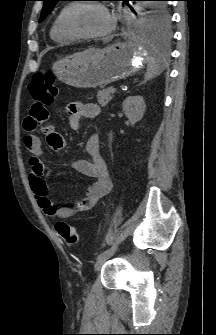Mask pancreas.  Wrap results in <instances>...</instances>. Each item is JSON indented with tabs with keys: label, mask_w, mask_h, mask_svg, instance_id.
Here are the masks:
<instances>
[{
	"label": "pancreas",
	"mask_w": 216,
	"mask_h": 335,
	"mask_svg": "<svg viewBox=\"0 0 216 335\" xmlns=\"http://www.w3.org/2000/svg\"><path fill=\"white\" fill-rule=\"evenodd\" d=\"M111 90L112 87H108L104 90L98 91L97 101L102 107H105L112 100Z\"/></svg>",
	"instance_id": "obj_1"
}]
</instances>
